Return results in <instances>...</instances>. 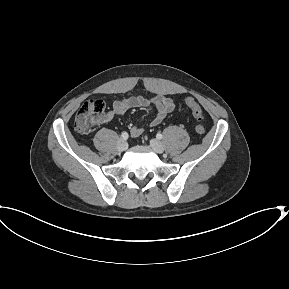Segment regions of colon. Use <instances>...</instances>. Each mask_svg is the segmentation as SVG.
<instances>
[{
    "mask_svg": "<svg viewBox=\"0 0 289 289\" xmlns=\"http://www.w3.org/2000/svg\"><path fill=\"white\" fill-rule=\"evenodd\" d=\"M186 105L190 108L195 119V131L198 134L205 132L203 123V113L200 105L195 99L188 97L185 100ZM106 105L102 100H87L75 117V129L82 135L88 134L93 126L98 123L104 115Z\"/></svg>",
    "mask_w": 289,
    "mask_h": 289,
    "instance_id": "colon-1",
    "label": "colon"
}]
</instances>
